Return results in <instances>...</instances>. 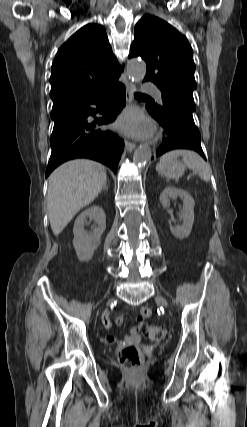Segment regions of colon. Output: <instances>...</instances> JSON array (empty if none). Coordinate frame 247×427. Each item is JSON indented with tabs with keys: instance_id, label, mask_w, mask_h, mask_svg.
<instances>
[{
	"instance_id": "1",
	"label": "colon",
	"mask_w": 247,
	"mask_h": 427,
	"mask_svg": "<svg viewBox=\"0 0 247 427\" xmlns=\"http://www.w3.org/2000/svg\"><path fill=\"white\" fill-rule=\"evenodd\" d=\"M145 334L151 341H161L165 338L166 332L164 329L148 324L145 327ZM120 363L129 370L138 369L143 363L142 353L133 345L123 347L118 354Z\"/></svg>"
}]
</instances>
